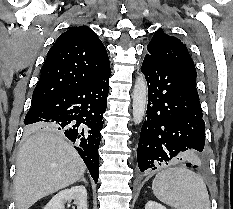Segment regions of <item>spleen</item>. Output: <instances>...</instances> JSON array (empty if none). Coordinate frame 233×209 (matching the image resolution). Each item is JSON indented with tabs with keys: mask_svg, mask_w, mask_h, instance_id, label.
<instances>
[{
	"mask_svg": "<svg viewBox=\"0 0 233 209\" xmlns=\"http://www.w3.org/2000/svg\"><path fill=\"white\" fill-rule=\"evenodd\" d=\"M156 198L175 209H210L203 178L183 167L159 172L152 183Z\"/></svg>",
	"mask_w": 233,
	"mask_h": 209,
	"instance_id": "3e777b00",
	"label": "spleen"
}]
</instances>
